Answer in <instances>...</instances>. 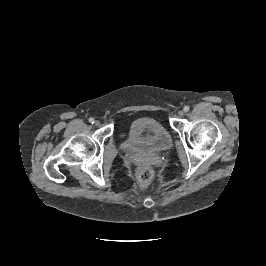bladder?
Instances as JSON below:
<instances>
[{
    "label": "bladder",
    "mask_w": 266,
    "mask_h": 266,
    "mask_svg": "<svg viewBox=\"0 0 266 266\" xmlns=\"http://www.w3.org/2000/svg\"><path fill=\"white\" fill-rule=\"evenodd\" d=\"M172 145L170 133L158 122L150 119H137L132 122L123 142L125 151L134 154L166 152Z\"/></svg>",
    "instance_id": "obj_1"
}]
</instances>
